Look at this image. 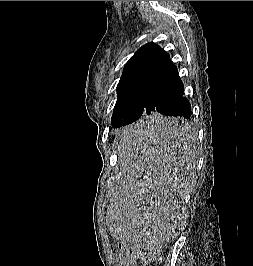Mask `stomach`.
<instances>
[{
    "label": "stomach",
    "mask_w": 253,
    "mask_h": 266,
    "mask_svg": "<svg viewBox=\"0 0 253 266\" xmlns=\"http://www.w3.org/2000/svg\"><path fill=\"white\" fill-rule=\"evenodd\" d=\"M191 138V136L187 135V140H189Z\"/></svg>",
    "instance_id": "0dacf381"
}]
</instances>
